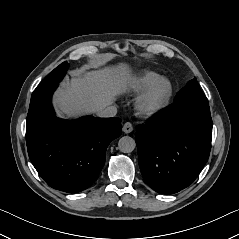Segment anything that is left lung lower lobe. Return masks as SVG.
<instances>
[{"label": "left lung lower lobe", "instance_id": "obj_1", "mask_svg": "<svg viewBox=\"0 0 239 239\" xmlns=\"http://www.w3.org/2000/svg\"><path fill=\"white\" fill-rule=\"evenodd\" d=\"M211 138L207 99L187 98L158 112L136 132L138 162L145 182L162 194L186 188L206 164Z\"/></svg>", "mask_w": 239, "mask_h": 239}]
</instances>
